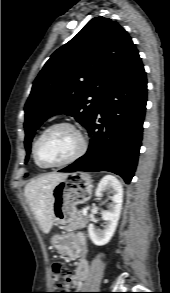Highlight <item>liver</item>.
Masks as SVG:
<instances>
[{
    "mask_svg": "<svg viewBox=\"0 0 170 293\" xmlns=\"http://www.w3.org/2000/svg\"><path fill=\"white\" fill-rule=\"evenodd\" d=\"M66 173H49L31 180L25 186V197L44 233L53 225V189Z\"/></svg>",
    "mask_w": 170,
    "mask_h": 293,
    "instance_id": "obj_1",
    "label": "liver"
}]
</instances>
